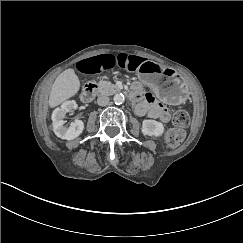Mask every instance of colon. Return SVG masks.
<instances>
[{"instance_id": "obj_1", "label": "colon", "mask_w": 243, "mask_h": 243, "mask_svg": "<svg viewBox=\"0 0 243 243\" xmlns=\"http://www.w3.org/2000/svg\"><path fill=\"white\" fill-rule=\"evenodd\" d=\"M173 127L165 134V141L170 147H176L185 138V128L189 123V116L184 110H176L172 113Z\"/></svg>"}]
</instances>
